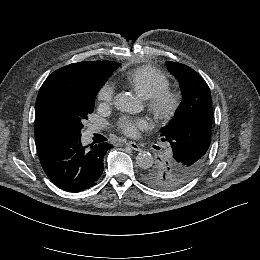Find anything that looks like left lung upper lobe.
<instances>
[{
	"label": "left lung upper lobe",
	"mask_w": 260,
	"mask_h": 260,
	"mask_svg": "<svg viewBox=\"0 0 260 260\" xmlns=\"http://www.w3.org/2000/svg\"><path fill=\"white\" fill-rule=\"evenodd\" d=\"M167 67L183 93L174 118L161 130L162 141L170 143L172 154L142 171L143 180L161 190L179 188L199 172L208 156L212 125V99L206 82L184 64L169 61Z\"/></svg>",
	"instance_id": "obj_1"
}]
</instances>
